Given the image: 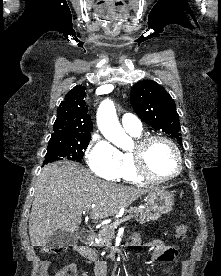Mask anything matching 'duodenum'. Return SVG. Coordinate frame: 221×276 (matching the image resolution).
<instances>
[{"label":"duodenum","mask_w":221,"mask_h":276,"mask_svg":"<svg viewBox=\"0 0 221 276\" xmlns=\"http://www.w3.org/2000/svg\"><path fill=\"white\" fill-rule=\"evenodd\" d=\"M78 236L80 241L84 244V247L92 241V234L88 229L81 228L78 231Z\"/></svg>","instance_id":"duodenum-1"}]
</instances>
